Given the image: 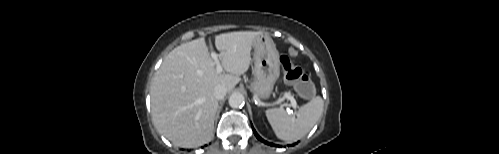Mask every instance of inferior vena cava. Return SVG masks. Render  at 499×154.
<instances>
[{"mask_svg":"<svg viewBox=\"0 0 499 154\" xmlns=\"http://www.w3.org/2000/svg\"><path fill=\"white\" fill-rule=\"evenodd\" d=\"M227 91L228 90H227L226 86L219 84V85L215 86L214 91H213V95L217 100H221L225 97Z\"/></svg>","mask_w":499,"mask_h":154,"instance_id":"obj_1","label":"inferior vena cava"}]
</instances>
